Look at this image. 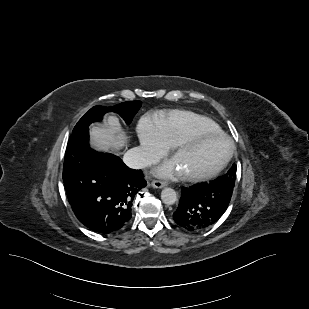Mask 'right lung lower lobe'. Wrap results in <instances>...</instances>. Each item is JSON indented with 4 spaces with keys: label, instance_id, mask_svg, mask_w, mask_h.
I'll list each match as a JSON object with an SVG mask.
<instances>
[{
    "label": "right lung lower lobe",
    "instance_id": "98d812e1",
    "mask_svg": "<svg viewBox=\"0 0 309 309\" xmlns=\"http://www.w3.org/2000/svg\"><path fill=\"white\" fill-rule=\"evenodd\" d=\"M88 139V127L69 138L63 166L67 197L83 225L114 233L127 225L134 196L146 181L141 170L128 168L119 157L91 149Z\"/></svg>",
    "mask_w": 309,
    "mask_h": 309
}]
</instances>
